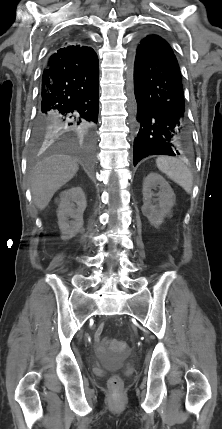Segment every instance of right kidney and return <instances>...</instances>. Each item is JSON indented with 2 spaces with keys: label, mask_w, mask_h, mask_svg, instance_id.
Returning a JSON list of instances; mask_svg holds the SVG:
<instances>
[{
  "label": "right kidney",
  "mask_w": 222,
  "mask_h": 429,
  "mask_svg": "<svg viewBox=\"0 0 222 429\" xmlns=\"http://www.w3.org/2000/svg\"><path fill=\"white\" fill-rule=\"evenodd\" d=\"M86 206L85 193L81 187H72L60 193L57 217L63 239H70L81 231Z\"/></svg>",
  "instance_id": "1"
}]
</instances>
